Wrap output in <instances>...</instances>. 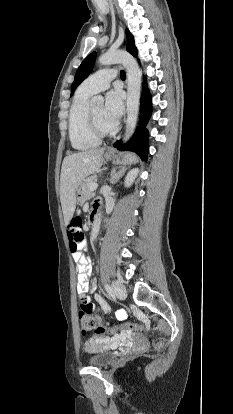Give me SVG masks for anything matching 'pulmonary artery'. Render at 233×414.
Here are the masks:
<instances>
[{
    "instance_id": "1",
    "label": "pulmonary artery",
    "mask_w": 233,
    "mask_h": 414,
    "mask_svg": "<svg viewBox=\"0 0 233 414\" xmlns=\"http://www.w3.org/2000/svg\"><path fill=\"white\" fill-rule=\"evenodd\" d=\"M116 75L115 69H102L86 78L80 88L91 95L96 94L107 89Z\"/></svg>"
}]
</instances>
